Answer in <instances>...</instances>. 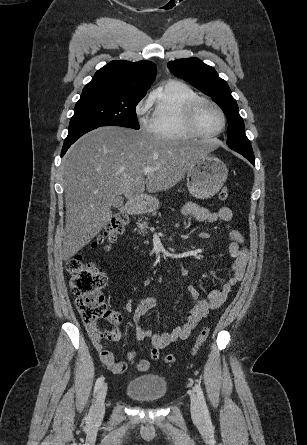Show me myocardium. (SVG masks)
Masks as SVG:
<instances>
[{
  "label": "myocardium",
  "mask_w": 307,
  "mask_h": 445,
  "mask_svg": "<svg viewBox=\"0 0 307 445\" xmlns=\"http://www.w3.org/2000/svg\"><path fill=\"white\" fill-rule=\"evenodd\" d=\"M203 104L212 105L221 112V114L223 116V120H224V127L221 131H219L217 133H207L206 131H204V129L200 125L199 116H198L200 107ZM185 114H186V118H187L189 127L191 128V130L193 131L194 134H196L197 136H199L201 138H213V137L220 136L226 131V129L228 127V115H227L225 109L217 102L207 99V98L198 97L195 100H193L187 106Z\"/></svg>",
  "instance_id": "myocardium-1"
}]
</instances>
